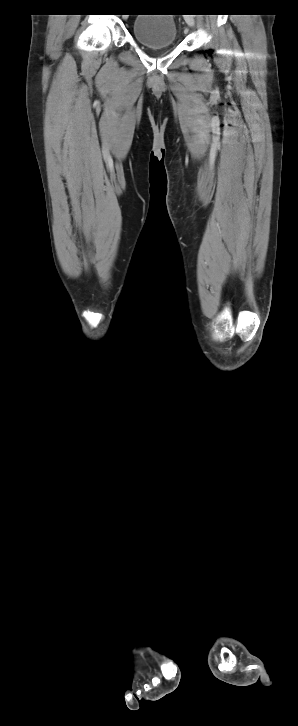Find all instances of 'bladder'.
I'll return each instance as SVG.
<instances>
[{
	"mask_svg": "<svg viewBox=\"0 0 298 726\" xmlns=\"http://www.w3.org/2000/svg\"><path fill=\"white\" fill-rule=\"evenodd\" d=\"M153 15L158 17L152 18ZM132 33L150 49L170 48L177 42V25L170 14H138L132 23Z\"/></svg>",
	"mask_w": 298,
	"mask_h": 726,
	"instance_id": "1",
	"label": "bladder"
}]
</instances>
